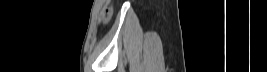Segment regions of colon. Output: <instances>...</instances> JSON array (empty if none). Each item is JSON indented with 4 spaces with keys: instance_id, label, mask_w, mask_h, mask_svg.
<instances>
[{
    "instance_id": "obj_1",
    "label": "colon",
    "mask_w": 267,
    "mask_h": 72,
    "mask_svg": "<svg viewBox=\"0 0 267 72\" xmlns=\"http://www.w3.org/2000/svg\"><path fill=\"white\" fill-rule=\"evenodd\" d=\"M111 14H112V10H111V8H106L105 10H104V12H103V20L104 21H108L109 19H110V17H111Z\"/></svg>"
}]
</instances>
